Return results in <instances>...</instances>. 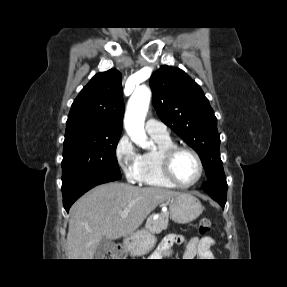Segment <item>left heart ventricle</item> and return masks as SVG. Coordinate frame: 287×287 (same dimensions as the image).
<instances>
[{"instance_id": "left-heart-ventricle-1", "label": "left heart ventricle", "mask_w": 287, "mask_h": 287, "mask_svg": "<svg viewBox=\"0 0 287 287\" xmlns=\"http://www.w3.org/2000/svg\"><path fill=\"white\" fill-rule=\"evenodd\" d=\"M176 178L183 184L193 182L199 173V166L195 157L186 151L179 152L173 161Z\"/></svg>"}]
</instances>
